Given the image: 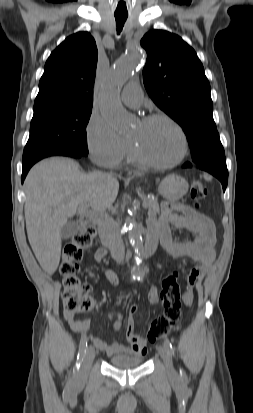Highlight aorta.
Wrapping results in <instances>:
<instances>
[{
	"instance_id": "aorta-1",
	"label": "aorta",
	"mask_w": 253,
	"mask_h": 413,
	"mask_svg": "<svg viewBox=\"0 0 253 413\" xmlns=\"http://www.w3.org/2000/svg\"><path fill=\"white\" fill-rule=\"evenodd\" d=\"M141 57L142 53L139 48L129 50L125 57L114 62L101 86V112L119 132L128 131L133 126L129 113L120 102L119 95L125 83L132 76ZM124 228L134 249L136 263L139 265L144 249L141 228L139 224L130 217L125 219ZM140 276L141 273L139 270L135 269L132 273V279L135 280Z\"/></svg>"
}]
</instances>
